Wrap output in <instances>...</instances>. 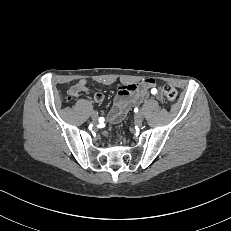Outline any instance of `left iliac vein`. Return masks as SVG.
I'll use <instances>...</instances> for the list:
<instances>
[{
  "mask_svg": "<svg viewBox=\"0 0 231 231\" xmlns=\"http://www.w3.org/2000/svg\"><path fill=\"white\" fill-rule=\"evenodd\" d=\"M143 119H144V115H143L142 112H138V113L135 115V121H136L138 124L142 123Z\"/></svg>",
  "mask_w": 231,
  "mask_h": 231,
  "instance_id": "obj_1",
  "label": "left iliac vein"
}]
</instances>
